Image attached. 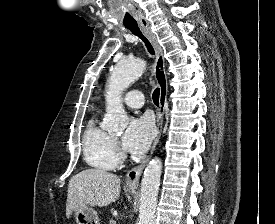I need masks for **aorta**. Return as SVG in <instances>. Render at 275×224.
Wrapping results in <instances>:
<instances>
[{"label":"aorta","instance_id":"obj_1","mask_svg":"<svg viewBox=\"0 0 275 224\" xmlns=\"http://www.w3.org/2000/svg\"><path fill=\"white\" fill-rule=\"evenodd\" d=\"M146 63L142 59H126L119 61L108 82L106 94V114L102 128L109 133H120L128 124L121 95L132 82L137 80L145 70ZM162 161L152 159L145 168L140 189L139 222L137 224H154L157 207V196L160 186Z\"/></svg>","mask_w":275,"mask_h":224}]
</instances>
